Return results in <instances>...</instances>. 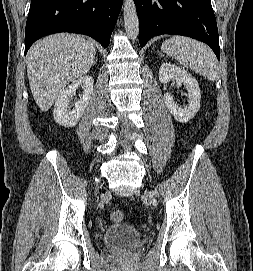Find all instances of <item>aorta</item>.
<instances>
[{
	"label": "aorta",
	"instance_id": "aorta-1",
	"mask_svg": "<svg viewBox=\"0 0 253 271\" xmlns=\"http://www.w3.org/2000/svg\"><path fill=\"white\" fill-rule=\"evenodd\" d=\"M123 16L126 33L128 37L134 41L139 34V19L134 0H124Z\"/></svg>",
	"mask_w": 253,
	"mask_h": 271
}]
</instances>
